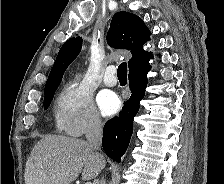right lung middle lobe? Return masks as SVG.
I'll return each instance as SVG.
<instances>
[{"label": "right lung middle lobe", "mask_w": 224, "mask_h": 184, "mask_svg": "<svg viewBox=\"0 0 224 184\" xmlns=\"http://www.w3.org/2000/svg\"><path fill=\"white\" fill-rule=\"evenodd\" d=\"M54 92L55 91L44 93L45 94V96H44V109H47L49 107L50 102L52 100V97L54 95Z\"/></svg>", "instance_id": "dd1d6c3e"}]
</instances>
